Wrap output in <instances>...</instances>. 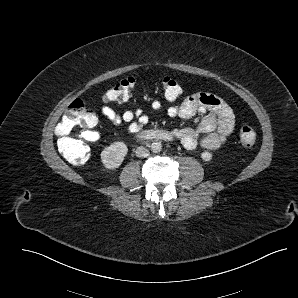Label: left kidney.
I'll return each instance as SVG.
<instances>
[{
	"mask_svg": "<svg viewBox=\"0 0 298 298\" xmlns=\"http://www.w3.org/2000/svg\"><path fill=\"white\" fill-rule=\"evenodd\" d=\"M203 158L205 159V160H209L210 158H211V155H210V153H204L203 154Z\"/></svg>",
	"mask_w": 298,
	"mask_h": 298,
	"instance_id": "5707ae66",
	"label": "left kidney"
}]
</instances>
